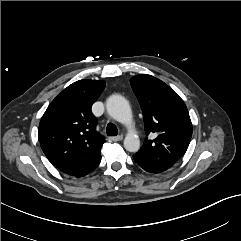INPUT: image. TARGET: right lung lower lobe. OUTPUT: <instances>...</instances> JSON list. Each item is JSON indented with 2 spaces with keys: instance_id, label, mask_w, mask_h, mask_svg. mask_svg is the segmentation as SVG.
<instances>
[{
  "instance_id": "98d812e1",
  "label": "right lung lower lobe",
  "mask_w": 241,
  "mask_h": 241,
  "mask_svg": "<svg viewBox=\"0 0 241 241\" xmlns=\"http://www.w3.org/2000/svg\"><path fill=\"white\" fill-rule=\"evenodd\" d=\"M96 167H97V166H96ZM96 167H93V168H91V169H88V170H86V171H84V172L78 174L76 177H82V176H85V175H87L88 173L92 172Z\"/></svg>"
}]
</instances>
